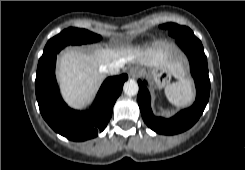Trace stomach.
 Here are the masks:
<instances>
[{
	"mask_svg": "<svg viewBox=\"0 0 245 170\" xmlns=\"http://www.w3.org/2000/svg\"><path fill=\"white\" fill-rule=\"evenodd\" d=\"M142 73L150 76L157 88L167 86L171 78L176 75L171 67H148L142 69Z\"/></svg>",
	"mask_w": 245,
	"mask_h": 170,
	"instance_id": "1",
	"label": "stomach"
}]
</instances>
